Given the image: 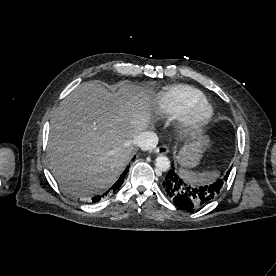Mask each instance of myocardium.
Instances as JSON below:
<instances>
[{"mask_svg":"<svg viewBox=\"0 0 276 276\" xmlns=\"http://www.w3.org/2000/svg\"><path fill=\"white\" fill-rule=\"evenodd\" d=\"M212 117L213 108L208 102L194 105L181 118L183 130L186 133H197L211 121Z\"/></svg>","mask_w":276,"mask_h":276,"instance_id":"1","label":"myocardium"}]
</instances>
